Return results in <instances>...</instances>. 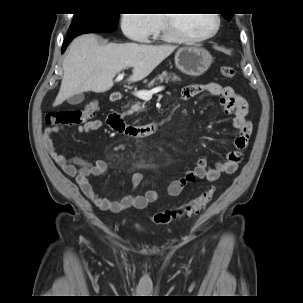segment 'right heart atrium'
<instances>
[{
	"label": "right heart atrium",
	"mask_w": 303,
	"mask_h": 303,
	"mask_svg": "<svg viewBox=\"0 0 303 303\" xmlns=\"http://www.w3.org/2000/svg\"><path fill=\"white\" fill-rule=\"evenodd\" d=\"M119 24L125 37L136 42H147L159 27L153 14H122Z\"/></svg>",
	"instance_id": "obj_1"
}]
</instances>
